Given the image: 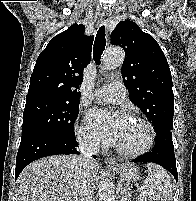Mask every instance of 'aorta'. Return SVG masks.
<instances>
[{"mask_svg":"<svg viewBox=\"0 0 196 201\" xmlns=\"http://www.w3.org/2000/svg\"><path fill=\"white\" fill-rule=\"evenodd\" d=\"M124 51L120 47L108 48L103 55V66L107 70L117 68L124 61ZM114 183L109 173H103L99 184V201H115Z\"/></svg>","mask_w":196,"mask_h":201,"instance_id":"obj_1","label":"aorta"}]
</instances>
